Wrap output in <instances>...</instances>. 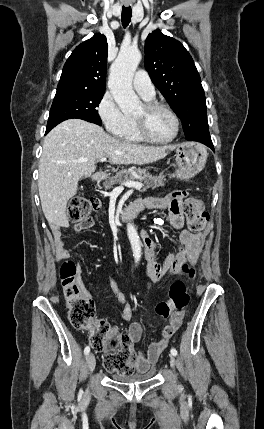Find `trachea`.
<instances>
[{
  "mask_svg": "<svg viewBox=\"0 0 264 429\" xmlns=\"http://www.w3.org/2000/svg\"><path fill=\"white\" fill-rule=\"evenodd\" d=\"M131 17H132V10L131 7H125L123 6L122 8V15H121V20H122V25L123 27H127L131 21Z\"/></svg>",
  "mask_w": 264,
  "mask_h": 429,
  "instance_id": "3493384b",
  "label": "trachea"
}]
</instances>
